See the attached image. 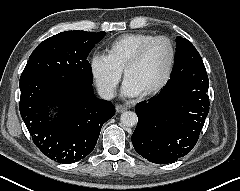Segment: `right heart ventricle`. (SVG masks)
<instances>
[{
	"label": "right heart ventricle",
	"instance_id": "obj_1",
	"mask_svg": "<svg viewBox=\"0 0 240 191\" xmlns=\"http://www.w3.org/2000/svg\"><path fill=\"white\" fill-rule=\"evenodd\" d=\"M152 37L154 36L148 33L120 36L108 45L107 55L119 69L123 70L137 50Z\"/></svg>",
	"mask_w": 240,
	"mask_h": 191
}]
</instances>
